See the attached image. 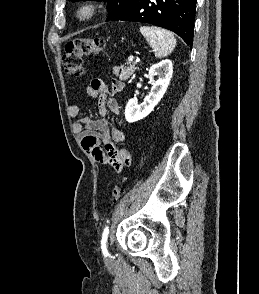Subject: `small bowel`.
I'll use <instances>...</instances> for the list:
<instances>
[{
  "label": "small bowel",
  "instance_id": "obj_1",
  "mask_svg": "<svg viewBox=\"0 0 259 294\" xmlns=\"http://www.w3.org/2000/svg\"><path fill=\"white\" fill-rule=\"evenodd\" d=\"M123 87V82L117 79L112 81L111 88L103 80L93 79L87 86L86 92L89 96L98 99L100 116L97 118L83 117L73 123V131L80 139L83 149L91 155L95 162L101 165L108 164L117 173L132 162L129 147H118L119 144L125 142V134L107 120L109 112L116 114L120 112L117 100L111 95L120 92ZM68 114L71 117H77L79 107L70 105Z\"/></svg>",
  "mask_w": 259,
  "mask_h": 294
}]
</instances>
